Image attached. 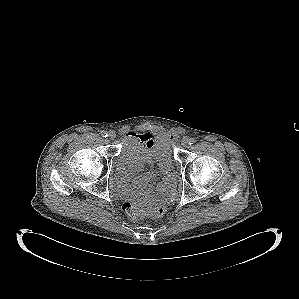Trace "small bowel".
Instances as JSON below:
<instances>
[{
    "instance_id": "small-bowel-1",
    "label": "small bowel",
    "mask_w": 299,
    "mask_h": 299,
    "mask_svg": "<svg viewBox=\"0 0 299 299\" xmlns=\"http://www.w3.org/2000/svg\"><path fill=\"white\" fill-rule=\"evenodd\" d=\"M127 136L137 138L144 148V152L139 154L133 162V173H139L143 170L145 164L153 163L152 157L147 153V150L151 147L155 136L150 133L136 134L134 132L128 133ZM158 166L163 173L164 178L156 187V199L165 197L173 189L175 183L174 175L172 172V164L166 160H161L158 161ZM154 177L155 174L153 172L143 174L135 181L133 187L124 185L123 189L129 197L147 193L150 190V184Z\"/></svg>"
}]
</instances>
